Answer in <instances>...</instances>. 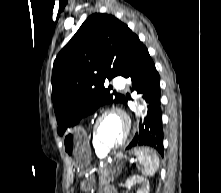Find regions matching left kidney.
<instances>
[{"label":"left kidney","instance_id":"left-kidney-1","mask_svg":"<svg viewBox=\"0 0 221 193\" xmlns=\"http://www.w3.org/2000/svg\"><path fill=\"white\" fill-rule=\"evenodd\" d=\"M134 184H140L141 188L137 190L136 193H149V182L140 176H131L125 182V187L130 189Z\"/></svg>","mask_w":221,"mask_h":193}]
</instances>
